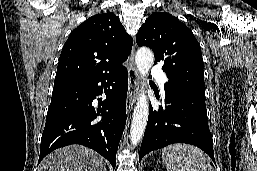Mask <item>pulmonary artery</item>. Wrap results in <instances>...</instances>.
<instances>
[{
	"mask_svg": "<svg viewBox=\"0 0 257 171\" xmlns=\"http://www.w3.org/2000/svg\"><path fill=\"white\" fill-rule=\"evenodd\" d=\"M151 76L153 78H156L159 82V86L160 88L163 90L164 89V86H165V83L167 82V77L166 75L164 74V72L157 66H154L152 69H151Z\"/></svg>",
	"mask_w": 257,
	"mask_h": 171,
	"instance_id": "obj_1",
	"label": "pulmonary artery"
}]
</instances>
